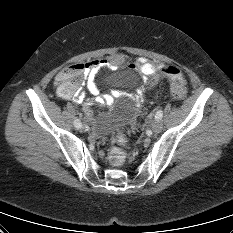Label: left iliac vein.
Wrapping results in <instances>:
<instances>
[{"label": "left iliac vein", "instance_id": "4c4485c4", "mask_svg": "<svg viewBox=\"0 0 233 233\" xmlns=\"http://www.w3.org/2000/svg\"><path fill=\"white\" fill-rule=\"evenodd\" d=\"M163 128V124L160 120H155L151 124V129L154 133H159Z\"/></svg>", "mask_w": 233, "mask_h": 233}]
</instances>
